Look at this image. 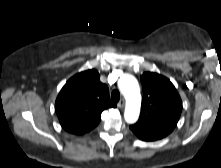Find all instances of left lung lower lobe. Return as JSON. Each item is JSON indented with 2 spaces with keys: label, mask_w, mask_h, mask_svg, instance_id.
Listing matches in <instances>:
<instances>
[{
  "label": "left lung lower lobe",
  "mask_w": 221,
  "mask_h": 168,
  "mask_svg": "<svg viewBox=\"0 0 221 168\" xmlns=\"http://www.w3.org/2000/svg\"><path fill=\"white\" fill-rule=\"evenodd\" d=\"M138 138L143 140V141H155L154 139L147 138V137H138Z\"/></svg>",
  "instance_id": "0a47b994"
}]
</instances>
